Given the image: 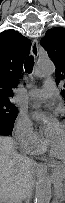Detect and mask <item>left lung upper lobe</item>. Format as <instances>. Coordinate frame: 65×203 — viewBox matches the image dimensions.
Here are the masks:
<instances>
[{"label":"left lung upper lobe","instance_id":"1","mask_svg":"<svg viewBox=\"0 0 65 203\" xmlns=\"http://www.w3.org/2000/svg\"><path fill=\"white\" fill-rule=\"evenodd\" d=\"M40 44L47 51L56 66V83H65V29L61 27L49 29L41 39ZM61 94L65 99L64 90Z\"/></svg>","mask_w":65,"mask_h":203}]
</instances>
